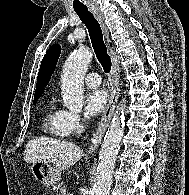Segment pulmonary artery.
I'll use <instances>...</instances> for the list:
<instances>
[{
    "mask_svg": "<svg viewBox=\"0 0 189 195\" xmlns=\"http://www.w3.org/2000/svg\"><path fill=\"white\" fill-rule=\"evenodd\" d=\"M85 84L91 88H97L101 84L100 76L97 73L91 72L84 77Z\"/></svg>",
    "mask_w": 189,
    "mask_h": 195,
    "instance_id": "pulmonary-artery-1",
    "label": "pulmonary artery"
}]
</instances>
